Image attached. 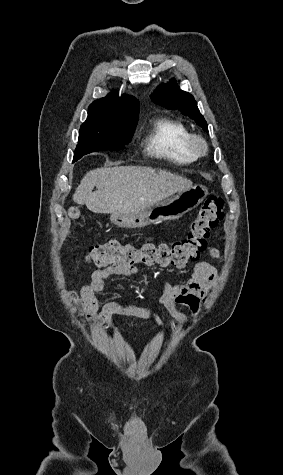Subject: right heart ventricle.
Listing matches in <instances>:
<instances>
[{"instance_id": "1", "label": "right heart ventricle", "mask_w": 283, "mask_h": 475, "mask_svg": "<svg viewBox=\"0 0 283 475\" xmlns=\"http://www.w3.org/2000/svg\"><path fill=\"white\" fill-rule=\"evenodd\" d=\"M143 134L145 148L152 154L162 155L163 150L168 147L176 152V156L175 158H165L173 162L198 161L199 157L191 154L185 146L191 131L179 119L158 116L145 126Z\"/></svg>"}]
</instances>
